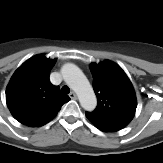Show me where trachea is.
I'll return each mask as SVG.
<instances>
[{"instance_id": "3493384b", "label": "trachea", "mask_w": 163, "mask_h": 163, "mask_svg": "<svg viewBox=\"0 0 163 163\" xmlns=\"http://www.w3.org/2000/svg\"><path fill=\"white\" fill-rule=\"evenodd\" d=\"M61 90H62V92H63V93H67V94L70 92L69 87H68V86H66V85H65V86H63Z\"/></svg>"}]
</instances>
